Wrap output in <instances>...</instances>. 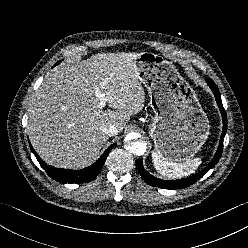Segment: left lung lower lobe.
Segmentation results:
<instances>
[{"mask_svg":"<svg viewBox=\"0 0 248 248\" xmlns=\"http://www.w3.org/2000/svg\"><path fill=\"white\" fill-rule=\"evenodd\" d=\"M206 81L215 95L217 104L219 106V109H220V112H221L222 118H223V131H222L219 146H218V149H217V152H216L214 158L207 165V167L204 170L200 171L199 173L194 174V175L187 177V178H184V179L172 180V181L161 180V179H158V178L152 176L144 169L143 164H142V160L141 159L136 160L135 164L138 168L140 175L150 185L165 188V189H180V188L188 187V186L192 185L193 183H195L203 175H205L219 161L221 154H222V150H223L224 136H225L226 130H227V115H226L225 109L222 105V101H221V97H220V93H219V89H218L217 85L211 79H207Z\"/></svg>","mask_w":248,"mask_h":248,"instance_id":"left-lung-lower-lobe-1","label":"left lung lower lobe"}]
</instances>
